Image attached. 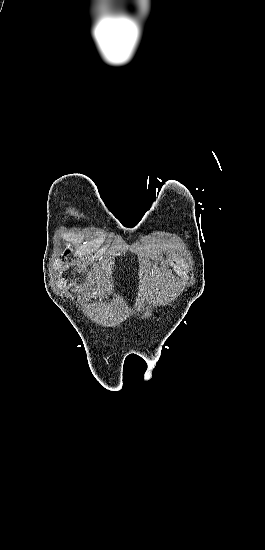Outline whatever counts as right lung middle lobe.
<instances>
[{
	"instance_id": "dd1d6c3e",
	"label": "right lung middle lobe",
	"mask_w": 265,
	"mask_h": 550,
	"mask_svg": "<svg viewBox=\"0 0 265 550\" xmlns=\"http://www.w3.org/2000/svg\"><path fill=\"white\" fill-rule=\"evenodd\" d=\"M68 253H69V251H67V252L65 253V255H67Z\"/></svg>"
}]
</instances>
